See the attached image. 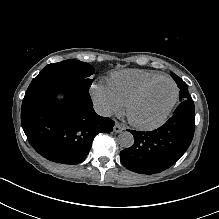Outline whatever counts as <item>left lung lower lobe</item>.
Here are the masks:
<instances>
[{
  "label": "left lung lower lobe",
  "mask_w": 219,
  "mask_h": 219,
  "mask_svg": "<svg viewBox=\"0 0 219 219\" xmlns=\"http://www.w3.org/2000/svg\"><path fill=\"white\" fill-rule=\"evenodd\" d=\"M195 109L191 99L182 101L172 117L156 130H129L135 139L120 153L122 164L141 174H155L175 164L191 144L195 129Z\"/></svg>",
  "instance_id": "1"
}]
</instances>
